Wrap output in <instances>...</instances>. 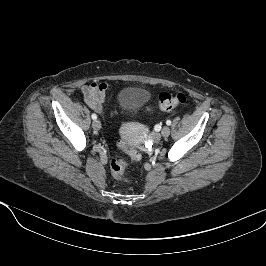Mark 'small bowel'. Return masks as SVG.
Wrapping results in <instances>:
<instances>
[{
    "label": "small bowel",
    "instance_id": "small-bowel-1",
    "mask_svg": "<svg viewBox=\"0 0 266 266\" xmlns=\"http://www.w3.org/2000/svg\"><path fill=\"white\" fill-rule=\"evenodd\" d=\"M109 90V85L104 82H93L81 89L87 105L98 113L104 112V104Z\"/></svg>",
    "mask_w": 266,
    "mask_h": 266
}]
</instances>
